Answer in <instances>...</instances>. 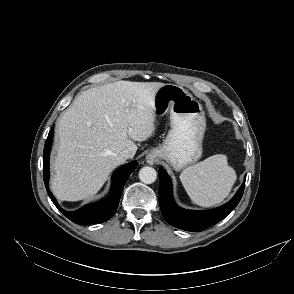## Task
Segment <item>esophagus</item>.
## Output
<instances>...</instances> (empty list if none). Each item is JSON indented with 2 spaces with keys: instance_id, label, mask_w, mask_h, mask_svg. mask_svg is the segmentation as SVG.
Listing matches in <instances>:
<instances>
[{
  "instance_id": "obj_1",
  "label": "esophagus",
  "mask_w": 294,
  "mask_h": 294,
  "mask_svg": "<svg viewBox=\"0 0 294 294\" xmlns=\"http://www.w3.org/2000/svg\"><path fill=\"white\" fill-rule=\"evenodd\" d=\"M147 162H148L149 164H153V159H148Z\"/></svg>"
}]
</instances>
